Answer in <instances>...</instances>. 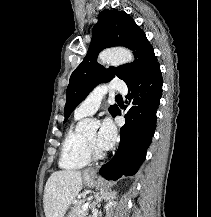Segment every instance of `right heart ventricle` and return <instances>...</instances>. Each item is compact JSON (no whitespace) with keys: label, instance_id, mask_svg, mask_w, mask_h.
Returning a JSON list of instances; mask_svg holds the SVG:
<instances>
[{"label":"right heart ventricle","instance_id":"right-heart-ventricle-1","mask_svg":"<svg viewBox=\"0 0 211 217\" xmlns=\"http://www.w3.org/2000/svg\"><path fill=\"white\" fill-rule=\"evenodd\" d=\"M81 118L75 116V121L70 125L63 138L59 157V166L63 169H81L90 162L85 137L76 128V122Z\"/></svg>","mask_w":211,"mask_h":217}]
</instances>
